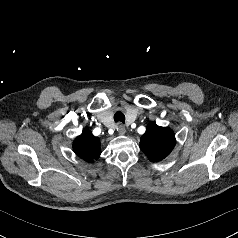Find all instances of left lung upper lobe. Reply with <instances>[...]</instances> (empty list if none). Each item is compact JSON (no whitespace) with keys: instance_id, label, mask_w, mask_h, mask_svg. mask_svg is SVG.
<instances>
[{"instance_id":"5c2ea615","label":"left lung upper lobe","mask_w":238,"mask_h":238,"mask_svg":"<svg viewBox=\"0 0 238 238\" xmlns=\"http://www.w3.org/2000/svg\"><path fill=\"white\" fill-rule=\"evenodd\" d=\"M176 144L172 129L160 127L150 122L140 139V149L152 162H158L168 156Z\"/></svg>"}]
</instances>
